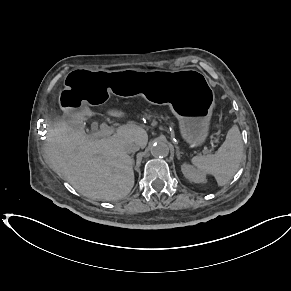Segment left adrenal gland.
Returning <instances> with one entry per match:
<instances>
[{
	"label": "left adrenal gland",
	"mask_w": 291,
	"mask_h": 291,
	"mask_svg": "<svg viewBox=\"0 0 291 291\" xmlns=\"http://www.w3.org/2000/svg\"><path fill=\"white\" fill-rule=\"evenodd\" d=\"M181 154L182 152L179 150V147H176V155H177L178 160H180Z\"/></svg>",
	"instance_id": "a2214340"
}]
</instances>
